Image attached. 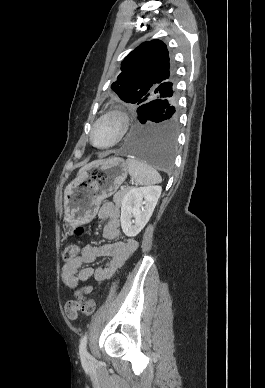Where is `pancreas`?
<instances>
[{
  "mask_svg": "<svg viewBox=\"0 0 265 388\" xmlns=\"http://www.w3.org/2000/svg\"><path fill=\"white\" fill-rule=\"evenodd\" d=\"M130 188H125V190H119V192H117V194H115L113 200L116 204V206H121L122 204V200L125 196V194H127V192H129Z\"/></svg>",
  "mask_w": 265,
  "mask_h": 388,
  "instance_id": "obj_1",
  "label": "pancreas"
}]
</instances>
